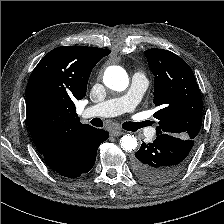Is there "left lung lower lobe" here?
Here are the masks:
<instances>
[{
    "label": "left lung lower lobe",
    "instance_id": "0a47b994",
    "mask_svg": "<svg viewBox=\"0 0 224 224\" xmlns=\"http://www.w3.org/2000/svg\"><path fill=\"white\" fill-rule=\"evenodd\" d=\"M194 140L159 134L143 143L132 161L134 173L151 184H165L177 177L189 160Z\"/></svg>",
    "mask_w": 224,
    "mask_h": 224
}]
</instances>
